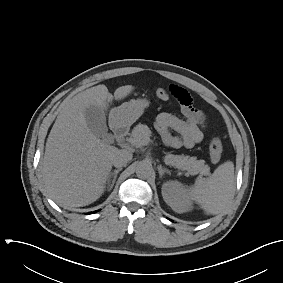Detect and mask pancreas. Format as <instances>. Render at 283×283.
I'll return each instance as SVG.
<instances>
[{"label":"pancreas","instance_id":"pancreas-1","mask_svg":"<svg viewBox=\"0 0 283 283\" xmlns=\"http://www.w3.org/2000/svg\"><path fill=\"white\" fill-rule=\"evenodd\" d=\"M151 136V130L145 124H138L131 132V136L126 140L135 147H141L137 141ZM166 164L187 171L190 175H197L199 177L207 176L210 174V167L205 164L204 160H197L196 157H189L185 155L167 154L164 157Z\"/></svg>","mask_w":283,"mask_h":283}]
</instances>
